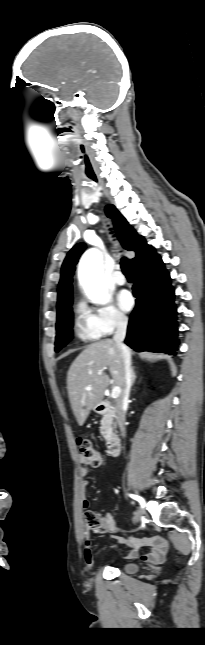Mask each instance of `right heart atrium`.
I'll list each match as a JSON object with an SVG mask.
<instances>
[{
  "label": "right heart atrium",
  "mask_w": 205,
  "mask_h": 645,
  "mask_svg": "<svg viewBox=\"0 0 205 645\" xmlns=\"http://www.w3.org/2000/svg\"><path fill=\"white\" fill-rule=\"evenodd\" d=\"M89 314L92 329L100 336H108L128 325L127 315L111 303L100 305Z\"/></svg>",
  "instance_id": "obj_1"
}]
</instances>
